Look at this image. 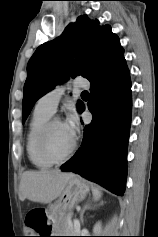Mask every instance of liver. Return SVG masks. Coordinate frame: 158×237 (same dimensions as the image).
Segmentation results:
<instances>
[{
  "mask_svg": "<svg viewBox=\"0 0 158 237\" xmlns=\"http://www.w3.org/2000/svg\"><path fill=\"white\" fill-rule=\"evenodd\" d=\"M73 177L72 173L56 170L26 171L21 176L19 195L23 199L47 204L62 194Z\"/></svg>",
  "mask_w": 158,
  "mask_h": 237,
  "instance_id": "liver-1",
  "label": "liver"
}]
</instances>
